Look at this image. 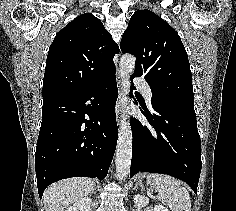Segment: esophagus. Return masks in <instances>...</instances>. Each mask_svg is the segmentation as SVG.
Masks as SVG:
<instances>
[{
    "label": "esophagus",
    "instance_id": "1",
    "mask_svg": "<svg viewBox=\"0 0 236 211\" xmlns=\"http://www.w3.org/2000/svg\"><path fill=\"white\" fill-rule=\"evenodd\" d=\"M117 82L119 86V95L116 101V118H117V123L118 125L120 124V117H121V109H122V104H123V92H122V77L119 74V70L117 69Z\"/></svg>",
    "mask_w": 236,
    "mask_h": 211
}]
</instances>
